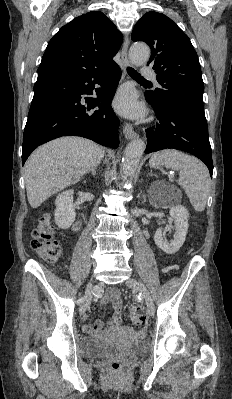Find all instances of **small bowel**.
I'll list each match as a JSON object with an SVG mask.
<instances>
[{
    "mask_svg": "<svg viewBox=\"0 0 232 399\" xmlns=\"http://www.w3.org/2000/svg\"><path fill=\"white\" fill-rule=\"evenodd\" d=\"M119 292L116 289L108 290L106 294L105 300H112L118 299ZM122 306L121 304L116 301L114 304V318L112 321L106 324H91L87 322H82L79 324V327L88 332L91 337L98 338V337H107L115 330L126 331L127 327L121 323L120 316H121ZM80 312L82 314L86 313L85 307H80Z\"/></svg>",
    "mask_w": 232,
    "mask_h": 399,
    "instance_id": "1",
    "label": "small bowel"
}]
</instances>
